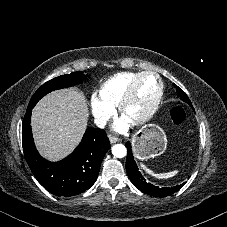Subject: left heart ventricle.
<instances>
[{
	"instance_id": "obj_1",
	"label": "left heart ventricle",
	"mask_w": 227,
	"mask_h": 227,
	"mask_svg": "<svg viewBox=\"0 0 227 227\" xmlns=\"http://www.w3.org/2000/svg\"><path fill=\"white\" fill-rule=\"evenodd\" d=\"M157 89L158 83L155 78L152 76L144 77L138 86L134 101L127 108L126 118L129 119L143 113L154 99Z\"/></svg>"
}]
</instances>
